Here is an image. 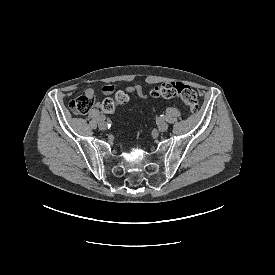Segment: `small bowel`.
Instances as JSON below:
<instances>
[{
	"instance_id": "1",
	"label": "small bowel",
	"mask_w": 275,
	"mask_h": 275,
	"mask_svg": "<svg viewBox=\"0 0 275 275\" xmlns=\"http://www.w3.org/2000/svg\"><path fill=\"white\" fill-rule=\"evenodd\" d=\"M114 90H115V85L109 83V84H106V85L103 86L102 93L104 95H110V94L113 93ZM124 91L126 93L135 94L137 97H139L141 99H148V95L144 92V90H143V88H142V86L140 84H133V85L126 86L124 88ZM85 94L88 95V96H93L94 90L92 88H88V89H86ZM95 106L97 108H100L101 107V103L100 102H96Z\"/></svg>"
}]
</instances>
